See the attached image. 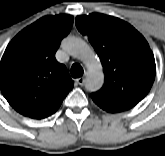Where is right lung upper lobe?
<instances>
[{"mask_svg": "<svg viewBox=\"0 0 165 156\" xmlns=\"http://www.w3.org/2000/svg\"><path fill=\"white\" fill-rule=\"evenodd\" d=\"M71 15L45 16L23 29L7 46L0 62V88L20 114L42 119L55 113L73 88L55 53L70 32Z\"/></svg>", "mask_w": 165, "mask_h": 156, "instance_id": "cb5924a9", "label": "right lung upper lobe"}]
</instances>
